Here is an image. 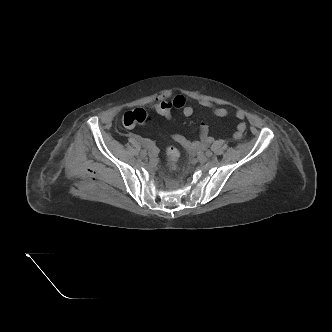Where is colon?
I'll return each mask as SVG.
<instances>
[{
    "label": "colon",
    "mask_w": 332,
    "mask_h": 332,
    "mask_svg": "<svg viewBox=\"0 0 332 332\" xmlns=\"http://www.w3.org/2000/svg\"><path fill=\"white\" fill-rule=\"evenodd\" d=\"M172 117V112L166 113V118L170 119ZM149 119L148 114L143 109H135L128 111L123 116V125L125 127L131 128L138 124H142ZM167 157L170 165L174 167L179 157V152L175 147H168Z\"/></svg>",
    "instance_id": "obj_1"
}]
</instances>
